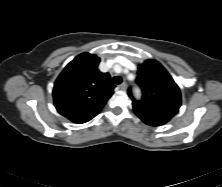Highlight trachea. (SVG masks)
Segmentation results:
<instances>
[{"label":"trachea","instance_id":"1","mask_svg":"<svg viewBox=\"0 0 222 187\" xmlns=\"http://www.w3.org/2000/svg\"><path fill=\"white\" fill-rule=\"evenodd\" d=\"M112 81L114 84L118 85V84L122 83V78L120 76H115V77H113Z\"/></svg>","mask_w":222,"mask_h":187}]
</instances>
